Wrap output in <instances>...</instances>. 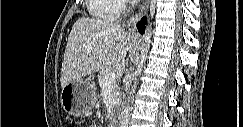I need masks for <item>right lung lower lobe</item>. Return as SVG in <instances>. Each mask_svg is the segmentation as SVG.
<instances>
[{"label":"right lung lower lobe","mask_w":243,"mask_h":127,"mask_svg":"<svg viewBox=\"0 0 243 127\" xmlns=\"http://www.w3.org/2000/svg\"><path fill=\"white\" fill-rule=\"evenodd\" d=\"M147 18L144 17L141 19V21L139 22V24L137 25L138 31L143 34L144 33V29H145V24H146Z\"/></svg>","instance_id":"98d812e1"}]
</instances>
